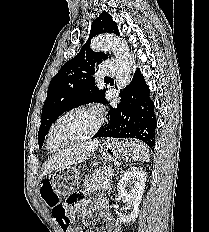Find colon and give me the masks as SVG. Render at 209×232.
<instances>
[{
    "instance_id": "5ec220e1",
    "label": "colon",
    "mask_w": 209,
    "mask_h": 232,
    "mask_svg": "<svg viewBox=\"0 0 209 232\" xmlns=\"http://www.w3.org/2000/svg\"><path fill=\"white\" fill-rule=\"evenodd\" d=\"M42 199L51 208L52 215L57 221V225L63 229H67L71 219L69 213L64 209V203L60 201L59 196L54 192L49 181H43L40 188Z\"/></svg>"
}]
</instances>
